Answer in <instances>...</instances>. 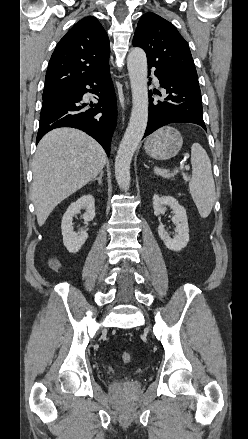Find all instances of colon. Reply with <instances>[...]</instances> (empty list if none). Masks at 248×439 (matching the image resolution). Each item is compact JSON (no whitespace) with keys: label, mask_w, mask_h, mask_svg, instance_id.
I'll list each match as a JSON object with an SVG mask.
<instances>
[{"label":"colon","mask_w":248,"mask_h":439,"mask_svg":"<svg viewBox=\"0 0 248 439\" xmlns=\"http://www.w3.org/2000/svg\"><path fill=\"white\" fill-rule=\"evenodd\" d=\"M51 265H52L53 268H57V267H58V264H57V262H55V261H53V262L51 263ZM131 359H132V357H131V354H130V353H128V352H123V353L121 354V360H122L124 363H129V362L131 361Z\"/></svg>","instance_id":"5ec220e1"}]
</instances>
